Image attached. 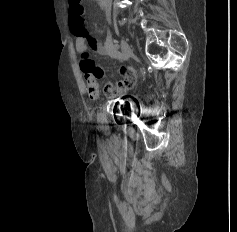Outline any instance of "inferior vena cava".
<instances>
[{
  "instance_id": "602c4592",
  "label": "inferior vena cava",
  "mask_w": 237,
  "mask_h": 232,
  "mask_svg": "<svg viewBox=\"0 0 237 232\" xmlns=\"http://www.w3.org/2000/svg\"><path fill=\"white\" fill-rule=\"evenodd\" d=\"M102 5L104 6L106 17L110 19V12H111V0H100Z\"/></svg>"
}]
</instances>
